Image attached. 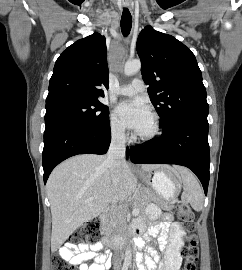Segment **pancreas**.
Returning a JSON list of instances; mask_svg holds the SVG:
<instances>
[{"mask_svg": "<svg viewBox=\"0 0 242 270\" xmlns=\"http://www.w3.org/2000/svg\"><path fill=\"white\" fill-rule=\"evenodd\" d=\"M157 202L160 204L161 208L170 211L173 209V206L164 203V202H159L158 199L156 198L155 194L149 190V189H141L134 197V207L138 208L140 211L144 210L145 207L151 202ZM126 218H127V213L125 210H119L118 213V218L116 220H112L109 223V232L114 233L118 232L121 233L126 229Z\"/></svg>", "mask_w": 242, "mask_h": 270, "instance_id": "cf45deb5", "label": "pancreas"}]
</instances>
